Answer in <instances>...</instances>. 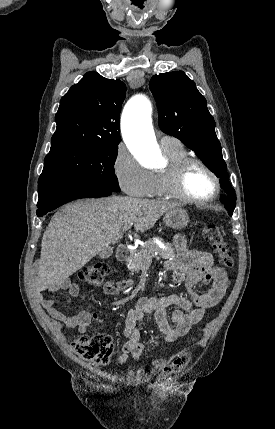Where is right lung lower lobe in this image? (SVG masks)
<instances>
[{
	"label": "right lung lower lobe",
	"mask_w": 275,
	"mask_h": 429,
	"mask_svg": "<svg viewBox=\"0 0 275 429\" xmlns=\"http://www.w3.org/2000/svg\"><path fill=\"white\" fill-rule=\"evenodd\" d=\"M111 194V191L87 187H76L61 190L46 197L39 198L37 204V216H43L48 211H52L53 209L75 199L105 197Z\"/></svg>",
	"instance_id": "1"
}]
</instances>
